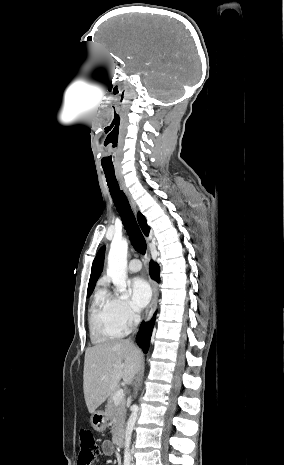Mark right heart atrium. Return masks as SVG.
<instances>
[{
    "label": "right heart atrium",
    "mask_w": 284,
    "mask_h": 465,
    "mask_svg": "<svg viewBox=\"0 0 284 465\" xmlns=\"http://www.w3.org/2000/svg\"><path fill=\"white\" fill-rule=\"evenodd\" d=\"M101 295L107 299L111 305L116 320L123 328L130 329L138 323L140 319L139 314L134 311L126 302L120 299L106 296L105 294Z\"/></svg>",
    "instance_id": "d8ad5b80"
}]
</instances>
